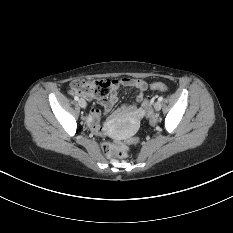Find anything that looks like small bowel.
I'll list each match as a JSON object with an SVG mask.
<instances>
[{"instance_id": "c3829d8e", "label": "small bowel", "mask_w": 233, "mask_h": 233, "mask_svg": "<svg viewBox=\"0 0 233 233\" xmlns=\"http://www.w3.org/2000/svg\"><path fill=\"white\" fill-rule=\"evenodd\" d=\"M121 87H130L136 90L135 102L131 105H122L119 110V115H128L132 122L137 121L144 114L143 109L139 107L144 92L147 89L145 81L140 79L121 78L111 81L110 94L108 97L99 99L104 112H109L114 104L119 100L118 90ZM100 111L92 108L87 116V121L95 132H102L103 128L100 125Z\"/></svg>"}]
</instances>
